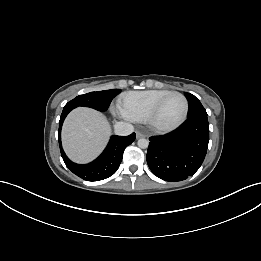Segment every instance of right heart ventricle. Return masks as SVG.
Segmentation results:
<instances>
[{
    "instance_id": "1",
    "label": "right heart ventricle",
    "mask_w": 261,
    "mask_h": 261,
    "mask_svg": "<svg viewBox=\"0 0 261 261\" xmlns=\"http://www.w3.org/2000/svg\"><path fill=\"white\" fill-rule=\"evenodd\" d=\"M168 92L167 89H152L124 93L119 100V110L129 120L144 121L154 103Z\"/></svg>"
}]
</instances>
